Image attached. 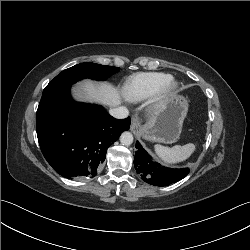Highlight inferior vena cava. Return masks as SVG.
Instances as JSON below:
<instances>
[{
    "label": "inferior vena cava",
    "instance_id": "obj_1",
    "mask_svg": "<svg viewBox=\"0 0 250 250\" xmlns=\"http://www.w3.org/2000/svg\"><path fill=\"white\" fill-rule=\"evenodd\" d=\"M109 114L117 119H125L129 116V111L126 107H117L109 110Z\"/></svg>",
    "mask_w": 250,
    "mask_h": 250
}]
</instances>
